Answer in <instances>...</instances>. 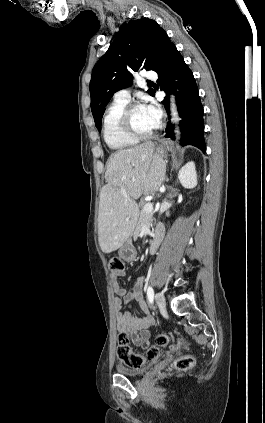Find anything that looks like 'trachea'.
Wrapping results in <instances>:
<instances>
[{
  "label": "trachea",
  "instance_id": "trachea-1",
  "mask_svg": "<svg viewBox=\"0 0 265 423\" xmlns=\"http://www.w3.org/2000/svg\"><path fill=\"white\" fill-rule=\"evenodd\" d=\"M148 84H153V82H151V81H148Z\"/></svg>",
  "mask_w": 265,
  "mask_h": 423
}]
</instances>
